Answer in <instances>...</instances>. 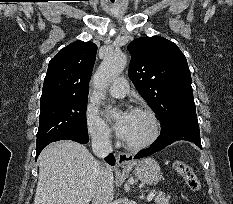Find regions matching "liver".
<instances>
[{
	"label": "liver",
	"mask_w": 233,
	"mask_h": 204,
	"mask_svg": "<svg viewBox=\"0 0 233 204\" xmlns=\"http://www.w3.org/2000/svg\"><path fill=\"white\" fill-rule=\"evenodd\" d=\"M34 204H89L103 165L74 141L48 145L40 154Z\"/></svg>",
	"instance_id": "1"
}]
</instances>
